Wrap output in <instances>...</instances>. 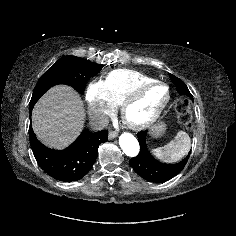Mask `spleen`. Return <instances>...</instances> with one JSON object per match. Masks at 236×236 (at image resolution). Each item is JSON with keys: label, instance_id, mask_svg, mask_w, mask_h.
I'll return each instance as SVG.
<instances>
[{"label": "spleen", "instance_id": "3e777b00", "mask_svg": "<svg viewBox=\"0 0 236 236\" xmlns=\"http://www.w3.org/2000/svg\"><path fill=\"white\" fill-rule=\"evenodd\" d=\"M191 147V140L189 135L184 131H179L174 140H171L163 147L151 149V153L157 159L173 163L182 159L189 152Z\"/></svg>", "mask_w": 236, "mask_h": 236}]
</instances>
